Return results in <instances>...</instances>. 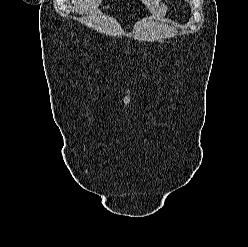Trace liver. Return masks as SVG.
<instances>
[{
	"instance_id": "6515ba94",
	"label": "liver",
	"mask_w": 248,
	"mask_h": 247,
	"mask_svg": "<svg viewBox=\"0 0 248 247\" xmlns=\"http://www.w3.org/2000/svg\"><path fill=\"white\" fill-rule=\"evenodd\" d=\"M102 0H72L77 13H92L96 10ZM161 0H142V3L153 13L156 5Z\"/></svg>"
}]
</instances>
